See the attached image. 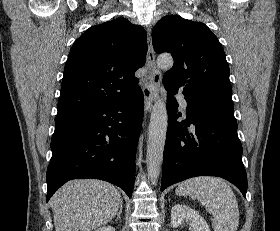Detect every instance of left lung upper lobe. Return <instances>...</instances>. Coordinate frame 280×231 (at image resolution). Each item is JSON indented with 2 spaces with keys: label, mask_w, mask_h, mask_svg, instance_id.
<instances>
[{
  "label": "left lung upper lobe",
  "mask_w": 280,
  "mask_h": 231,
  "mask_svg": "<svg viewBox=\"0 0 280 231\" xmlns=\"http://www.w3.org/2000/svg\"><path fill=\"white\" fill-rule=\"evenodd\" d=\"M155 51L171 53L172 69L163 77L169 92L187 100L234 110L229 66L222 45L203 23L177 15L163 17L152 30Z\"/></svg>",
  "instance_id": "obj_1"
}]
</instances>
